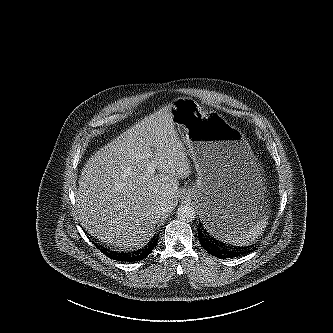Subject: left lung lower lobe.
<instances>
[{"instance_id":"obj_1","label":"left lung lower lobe","mask_w":333,"mask_h":333,"mask_svg":"<svg viewBox=\"0 0 333 333\" xmlns=\"http://www.w3.org/2000/svg\"><path fill=\"white\" fill-rule=\"evenodd\" d=\"M214 236V235H213ZM209 234V232L200 224L198 227V238L204 249L211 255L218 258L239 257L248 253L247 248H229L226 244L217 240ZM218 238V237H217Z\"/></svg>"}]
</instances>
